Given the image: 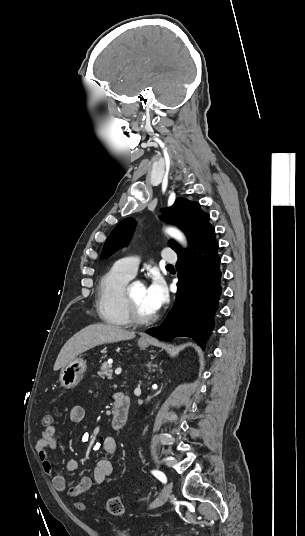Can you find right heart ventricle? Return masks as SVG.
<instances>
[{
  "mask_svg": "<svg viewBox=\"0 0 305 536\" xmlns=\"http://www.w3.org/2000/svg\"><path fill=\"white\" fill-rule=\"evenodd\" d=\"M131 277L114 266L101 279L96 310L101 320L111 325L128 327L132 324L123 302V293Z\"/></svg>",
  "mask_w": 305,
  "mask_h": 536,
  "instance_id": "1",
  "label": "right heart ventricle"
}]
</instances>
